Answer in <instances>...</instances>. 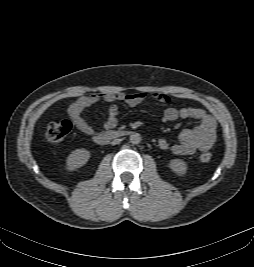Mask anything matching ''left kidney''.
<instances>
[{"instance_id":"5707ae66","label":"left kidney","mask_w":254,"mask_h":267,"mask_svg":"<svg viewBox=\"0 0 254 267\" xmlns=\"http://www.w3.org/2000/svg\"><path fill=\"white\" fill-rule=\"evenodd\" d=\"M169 168L177 175L182 176L186 174L187 164L182 159H172Z\"/></svg>"}]
</instances>
